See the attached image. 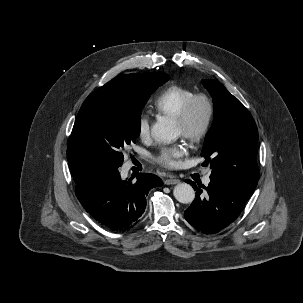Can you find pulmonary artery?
I'll list each match as a JSON object with an SVG mask.
<instances>
[{
	"label": "pulmonary artery",
	"mask_w": 303,
	"mask_h": 303,
	"mask_svg": "<svg viewBox=\"0 0 303 303\" xmlns=\"http://www.w3.org/2000/svg\"><path fill=\"white\" fill-rule=\"evenodd\" d=\"M203 183H204L205 185H208V184L210 183V177H209V175H206V176L203 178Z\"/></svg>",
	"instance_id": "pulmonary-artery-1"
}]
</instances>
